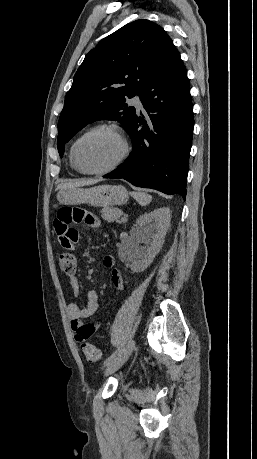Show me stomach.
Returning <instances> with one entry per match:
<instances>
[{"mask_svg":"<svg viewBox=\"0 0 257 459\" xmlns=\"http://www.w3.org/2000/svg\"><path fill=\"white\" fill-rule=\"evenodd\" d=\"M60 204L76 205L89 204L91 206L106 207L124 204L128 200V193L121 185H99L91 188H68L57 194Z\"/></svg>","mask_w":257,"mask_h":459,"instance_id":"obj_1","label":"stomach"}]
</instances>
